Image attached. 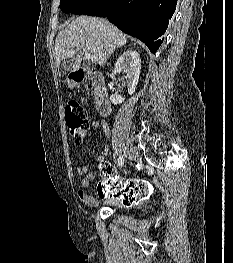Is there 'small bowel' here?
Listing matches in <instances>:
<instances>
[{"mask_svg":"<svg viewBox=\"0 0 233 263\" xmlns=\"http://www.w3.org/2000/svg\"><path fill=\"white\" fill-rule=\"evenodd\" d=\"M92 128L93 129H102L105 133V136L108 138L109 137V128H108V125L105 121H93L92 122ZM109 151V148L107 145H105L102 149V154L103 155H106ZM97 163H98V167H99V170L102 171L103 170H106V168L109 170V171H114L112 166L110 164H108L103 157H99L97 159ZM77 173L78 175L80 176L81 178V186L83 188H87L90 186L91 182L96 178V173L94 171H91L89 169V167L87 166H82V167H78L77 168ZM116 175V174H115ZM126 186V184L124 185ZM78 197L79 199L85 203L87 206H90V207H95L99 204V201L97 198H95L94 196L88 194L85 190H79L78 191ZM100 198L104 199V198H107L109 197V195H98ZM114 202L116 203L118 206H123V202H117L115 199H110L107 200L106 202Z\"/></svg>","mask_w":233,"mask_h":263,"instance_id":"obj_1","label":"small bowel"}]
</instances>
